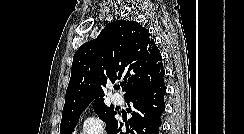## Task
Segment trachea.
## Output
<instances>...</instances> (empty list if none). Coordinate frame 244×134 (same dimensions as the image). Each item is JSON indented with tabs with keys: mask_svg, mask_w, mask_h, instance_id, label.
Listing matches in <instances>:
<instances>
[{
	"mask_svg": "<svg viewBox=\"0 0 244 134\" xmlns=\"http://www.w3.org/2000/svg\"><path fill=\"white\" fill-rule=\"evenodd\" d=\"M120 88V86H116V89H119Z\"/></svg>",
	"mask_w": 244,
	"mask_h": 134,
	"instance_id": "obj_1",
	"label": "trachea"
}]
</instances>
